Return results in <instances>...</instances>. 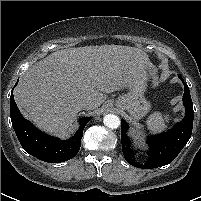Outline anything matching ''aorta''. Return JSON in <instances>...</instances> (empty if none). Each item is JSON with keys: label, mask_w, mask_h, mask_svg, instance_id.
Wrapping results in <instances>:
<instances>
[{"label": "aorta", "mask_w": 201, "mask_h": 201, "mask_svg": "<svg viewBox=\"0 0 201 201\" xmlns=\"http://www.w3.org/2000/svg\"><path fill=\"white\" fill-rule=\"evenodd\" d=\"M103 123L108 128L117 129L120 126L121 121L118 116L114 114H107L103 118Z\"/></svg>", "instance_id": "obj_1"}]
</instances>
